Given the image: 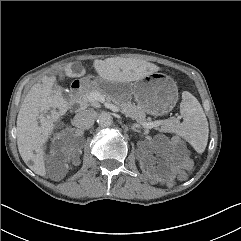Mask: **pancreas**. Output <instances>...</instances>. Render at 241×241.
Returning <instances> with one entry per match:
<instances>
[{
  "mask_svg": "<svg viewBox=\"0 0 241 241\" xmlns=\"http://www.w3.org/2000/svg\"><path fill=\"white\" fill-rule=\"evenodd\" d=\"M92 93H99V94L105 96L104 94H102L100 89L97 87H94L91 89H86L83 93H81L76 98V102L79 104L81 109H84V108L88 107L90 104L95 103L94 101H92L90 99V95ZM110 100L114 101V103L116 105H118L119 108L121 109V112L123 114H125L127 117H130L139 123L146 122L145 113L142 112L136 105L130 103L129 101L118 102L111 98L109 99V101ZM178 124H179V121L176 118L172 117L170 119L165 120L164 124L162 125V129L165 131H172L178 126Z\"/></svg>",
  "mask_w": 241,
  "mask_h": 241,
  "instance_id": "cf45deb5",
  "label": "pancreas"
}]
</instances>
